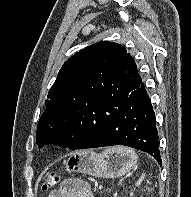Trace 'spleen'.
<instances>
[{
    "mask_svg": "<svg viewBox=\"0 0 191 197\" xmlns=\"http://www.w3.org/2000/svg\"><path fill=\"white\" fill-rule=\"evenodd\" d=\"M113 149L116 152H119L120 154L128 155L130 157L131 161L136 162L137 156H136V153L133 149L128 148V147H115ZM143 179H144V174H142V176L139 178L136 185L137 186L140 185V183L142 182Z\"/></svg>",
    "mask_w": 191,
    "mask_h": 197,
    "instance_id": "obj_1",
    "label": "spleen"
}]
</instances>
